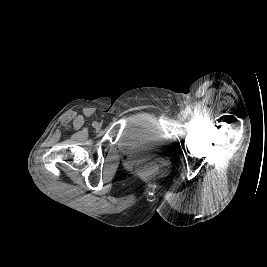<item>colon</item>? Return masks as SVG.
I'll list each match as a JSON object with an SVG mask.
<instances>
[{
    "mask_svg": "<svg viewBox=\"0 0 267 267\" xmlns=\"http://www.w3.org/2000/svg\"><path fill=\"white\" fill-rule=\"evenodd\" d=\"M138 174L144 179L153 178L158 171L157 165L151 161H142L137 165Z\"/></svg>",
    "mask_w": 267,
    "mask_h": 267,
    "instance_id": "obj_1",
    "label": "colon"
}]
</instances>
